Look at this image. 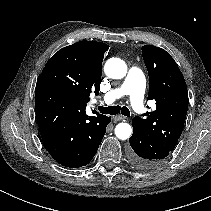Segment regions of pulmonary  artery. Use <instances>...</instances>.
Returning a JSON list of instances; mask_svg holds the SVG:
<instances>
[{
	"label": "pulmonary artery",
	"instance_id": "obj_1",
	"mask_svg": "<svg viewBox=\"0 0 211 211\" xmlns=\"http://www.w3.org/2000/svg\"><path fill=\"white\" fill-rule=\"evenodd\" d=\"M146 80L142 71L138 68H131L122 85L119 88L112 89L103 97V103L112 104L123 95L130 97L133 110L142 114L144 112V94Z\"/></svg>",
	"mask_w": 211,
	"mask_h": 211
}]
</instances>
